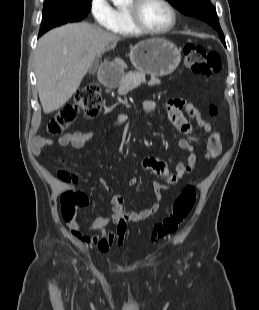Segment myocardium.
<instances>
[{"mask_svg":"<svg viewBox=\"0 0 259 310\" xmlns=\"http://www.w3.org/2000/svg\"><path fill=\"white\" fill-rule=\"evenodd\" d=\"M170 12L171 21L170 23L162 28V29H151L145 26L140 19V10L146 0H131L130 4L127 6L126 14L129 20V23L133 30L136 33L145 34V35H153V36H161L172 31L178 22V14L175 7L168 0H159Z\"/></svg>","mask_w":259,"mask_h":310,"instance_id":"f54148a6","label":"myocardium"}]
</instances>
